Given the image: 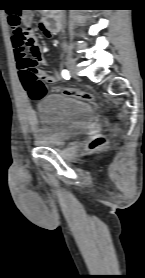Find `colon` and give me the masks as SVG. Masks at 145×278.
Instances as JSON below:
<instances>
[{
	"label": "colon",
	"instance_id": "1",
	"mask_svg": "<svg viewBox=\"0 0 145 278\" xmlns=\"http://www.w3.org/2000/svg\"><path fill=\"white\" fill-rule=\"evenodd\" d=\"M8 22L14 37H16L23 46L28 45L30 43V33L26 28L22 26L21 17L16 13H12L9 15ZM64 92L66 94L74 95L78 98H82L86 100L93 99V94L86 91L65 89ZM102 143H103L102 139H97L91 144L90 148L91 149L96 148Z\"/></svg>",
	"mask_w": 145,
	"mask_h": 278
}]
</instances>
